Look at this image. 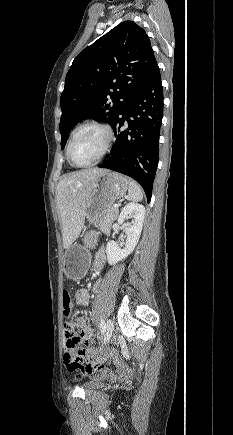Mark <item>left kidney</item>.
<instances>
[{
	"label": "left kidney",
	"mask_w": 233,
	"mask_h": 435,
	"mask_svg": "<svg viewBox=\"0 0 233 435\" xmlns=\"http://www.w3.org/2000/svg\"><path fill=\"white\" fill-rule=\"evenodd\" d=\"M145 207L138 203H128L118 217V223L126 227L127 239L123 249L115 241H109L106 246L107 260L110 265H114L125 259L131 254L137 245L143 227ZM127 219L132 222L125 223Z\"/></svg>",
	"instance_id": "1"
}]
</instances>
